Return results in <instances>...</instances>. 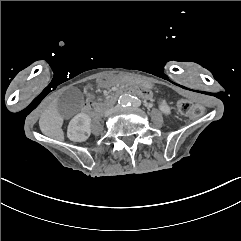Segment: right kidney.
<instances>
[{
    "label": "right kidney",
    "mask_w": 241,
    "mask_h": 241,
    "mask_svg": "<svg viewBox=\"0 0 241 241\" xmlns=\"http://www.w3.org/2000/svg\"><path fill=\"white\" fill-rule=\"evenodd\" d=\"M91 118L85 113H79L69 122L67 137L74 142H83L91 133Z\"/></svg>",
    "instance_id": "ca27d5eb"
}]
</instances>
